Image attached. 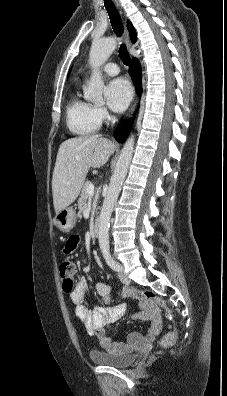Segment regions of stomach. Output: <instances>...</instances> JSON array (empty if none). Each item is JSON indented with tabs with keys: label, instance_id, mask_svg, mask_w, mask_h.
I'll list each match as a JSON object with an SVG mask.
<instances>
[{
	"label": "stomach",
	"instance_id": "0dacf381",
	"mask_svg": "<svg viewBox=\"0 0 227 396\" xmlns=\"http://www.w3.org/2000/svg\"><path fill=\"white\" fill-rule=\"evenodd\" d=\"M54 225L61 231L67 232L74 227L75 211L72 207L65 208L58 212L53 220Z\"/></svg>",
	"mask_w": 227,
	"mask_h": 396
}]
</instances>
